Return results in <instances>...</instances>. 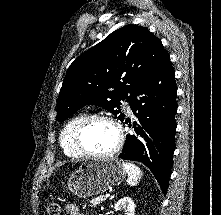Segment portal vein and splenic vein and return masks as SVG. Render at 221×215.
Here are the masks:
<instances>
[{
  "instance_id": "1",
  "label": "portal vein and splenic vein",
  "mask_w": 221,
  "mask_h": 215,
  "mask_svg": "<svg viewBox=\"0 0 221 215\" xmlns=\"http://www.w3.org/2000/svg\"><path fill=\"white\" fill-rule=\"evenodd\" d=\"M105 199L109 197V194H106L103 196Z\"/></svg>"
}]
</instances>
